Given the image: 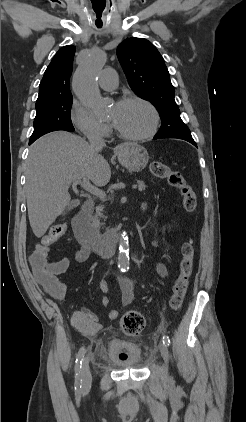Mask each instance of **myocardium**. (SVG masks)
<instances>
[{
  "label": "myocardium",
  "instance_id": "myocardium-1",
  "mask_svg": "<svg viewBox=\"0 0 246 422\" xmlns=\"http://www.w3.org/2000/svg\"><path fill=\"white\" fill-rule=\"evenodd\" d=\"M129 103H140L148 108V110L151 112V115H152L151 126L145 133H142L139 135H131L119 130L117 127H114L117 135L124 140L135 141V142L143 141V140L153 137L156 134L159 128V124H160V114L157 108L155 107V105L148 99L143 98L141 96H136V95L126 96L118 101L119 105L129 104Z\"/></svg>",
  "mask_w": 246,
  "mask_h": 422
}]
</instances>
